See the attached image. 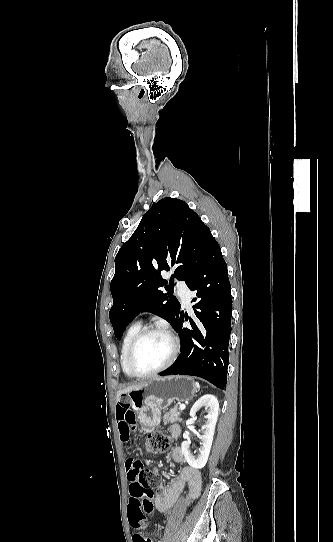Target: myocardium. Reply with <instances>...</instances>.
<instances>
[{
  "instance_id": "obj_1",
  "label": "myocardium",
  "mask_w": 333,
  "mask_h": 542,
  "mask_svg": "<svg viewBox=\"0 0 333 542\" xmlns=\"http://www.w3.org/2000/svg\"><path fill=\"white\" fill-rule=\"evenodd\" d=\"M155 333L162 334L168 339V342L170 344L169 356L167 360L156 370L147 374H137L134 372L132 368V357H133L134 351L136 347L138 346V344L145 337L151 334H155ZM178 354H179V342L175 333L164 325H149L142 328L141 331L137 334V336L131 342L128 349L127 358H126V368H127L128 374L131 377L139 378V379L150 378V377L156 376L157 374L163 372L168 367H170L174 363V361L177 359Z\"/></svg>"
}]
</instances>
